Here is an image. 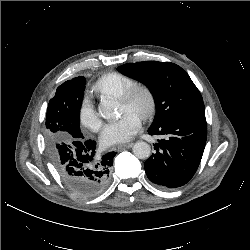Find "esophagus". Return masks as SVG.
I'll return each mask as SVG.
<instances>
[{
  "label": "esophagus",
  "instance_id": "34e87169",
  "mask_svg": "<svg viewBox=\"0 0 250 250\" xmlns=\"http://www.w3.org/2000/svg\"><path fill=\"white\" fill-rule=\"evenodd\" d=\"M133 143H127V144H122V145H118V146H115L113 148L114 151H120V150H123V149H126V148H130L132 147Z\"/></svg>",
  "mask_w": 250,
  "mask_h": 250
}]
</instances>
